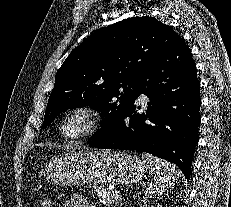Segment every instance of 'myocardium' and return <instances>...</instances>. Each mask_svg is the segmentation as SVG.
I'll return each mask as SVG.
<instances>
[{"label": "myocardium", "mask_w": 231, "mask_h": 207, "mask_svg": "<svg viewBox=\"0 0 231 207\" xmlns=\"http://www.w3.org/2000/svg\"><path fill=\"white\" fill-rule=\"evenodd\" d=\"M81 118L84 121V128L77 134H70L67 131L68 123ZM101 126V116L99 112L88 105H79L69 109L62 117L60 123L61 135L69 141H80L92 136Z\"/></svg>", "instance_id": "1"}]
</instances>
